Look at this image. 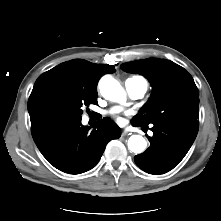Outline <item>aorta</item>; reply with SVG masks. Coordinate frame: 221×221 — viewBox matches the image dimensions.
<instances>
[{
    "label": "aorta",
    "instance_id": "aorta-1",
    "mask_svg": "<svg viewBox=\"0 0 221 221\" xmlns=\"http://www.w3.org/2000/svg\"><path fill=\"white\" fill-rule=\"evenodd\" d=\"M99 88L102 96L107 100L121 102L125 99L124 89L110 75H105L100 79ZM146 146V140L140 135H132L128 140V149L136 154L142 153Z\"/></svg>",
    "mask_w": 221,
    "mask_h": 221
}]
</instances>
